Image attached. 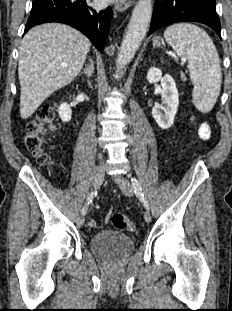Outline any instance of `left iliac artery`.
<instances>
[{
	"label": "left iliac artery",
	"mask_w": 232,
	"mask_h": 311,
	"mask_svg": "<svg viewBox=\"0 0 232 311\" xmlns=\"http://www.w3.org/2000/svg\"><path fill=\"white\" fill-rule=\"evenodd\" d=\"M132 186L134 189V193L140 198L141 202L143 203L144 207L146 209L149 208L148 201L144 197V194L142 192V187L139 183V181L136 178H131Z\"/></svg>",
	"instance_id": "1"
}]
</instances>
